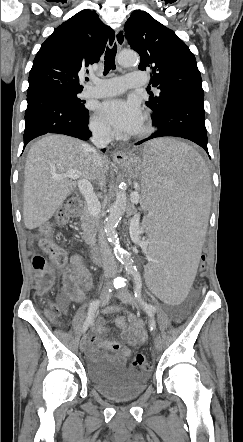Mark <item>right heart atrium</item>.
<instances>
[{"instance_id": "d8ad5b80", "label": "right heart atrium", "mask_w": 243, "mask_h": 442, "mask_svg": "<svg viewBox=\"0 0 243 442\" xmlns=\"http://www.w3.org/2000/svg\"><path fill=\"white\" fill-rule=\"evenodd\" d=\"M89 126L91 131L99 137L110 138L113 136L111 128L97 115H94L91 118Z\"/></svg>"}]
</instances>
